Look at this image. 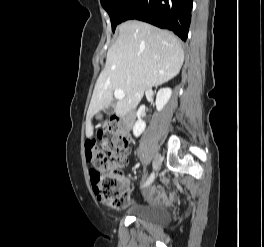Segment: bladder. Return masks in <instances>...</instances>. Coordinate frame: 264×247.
<instances>
[{"label":"bladder","instance_id":"31cf9c89","mask_svg":"<svg viewBox=\"0 0 264 247\" xmlns=\"http://www.w3.org/2000/svg\"><path fill=\"white\" fill-rule=\"evenodd\" d=\"M131 214L136 219L152 224H165L171 220V212L162 206L136 204L131 207Z\"/></svg>","mask_w":264,"mask_h":247}]
</instances>
